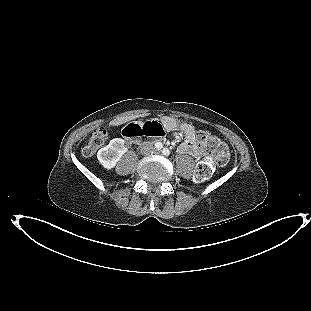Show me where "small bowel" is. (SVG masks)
Here are the masks:
<instances>
[{"mask_svg":"<svg viewBox=\"0 0 311 311\" xmlns=\"http://www.w3.org/2000/svg\"><path fill=\"white\" fill-rule=\"evenodd\" d=\"M161 123L166 130L180 129L183 132L185 140L178 148L181 154H188L193 157L200 156V150L195 142V131L190 123L169 116L162 117Z\"/></svg>","mask_w":311,"mask_h":311,"instance_id":"1","label":"small bowel"}]
</instances>
